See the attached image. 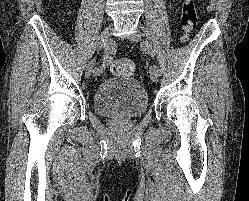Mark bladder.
Masks as SVG:
<instances>
[{"label":"bladder","mask_w":249,"mask_h":201,"mask_svg":"<svg viewBox=\"0 0 249 201\" xmlns=\"http://www.w3.org/2000/svg\"><path fill=\"white\" fill-rule=\"evenodd\" d=\"M93 107L104 117L136 118L147 111L148 96L133 77L104 80L93 96Z\"/></svg>","instance_id":"bladder-1"}]
</instances>
